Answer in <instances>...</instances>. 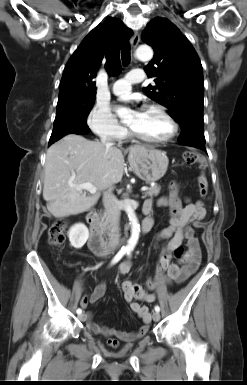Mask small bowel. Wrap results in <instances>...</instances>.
I'll list each match as a JSON object with an SVG mask.
<instances>
[{
  "instance_id": "obj_1",
  "label": "small bowel",
  "mask_w": 247,
  "mask_h": 385,
  "mask_svg": "<svg viewBox=\"0 0 247 385\" xmlns=\"http://www.w3.org/2000/svg\"><path fill=\"white\" fill-rule=\"evenodd\" d=\"M157 205L160 207H169L171 210L168 226L163 228L156 236V244L165 241L161 249L162 257L159 263L165 257L169 258L170 265L166 272L167 274L165 275V273L159 272L157 267L155 278L147 282L145 287L132 282H125L123 284L124 298L132 312L142 320L141 327L136 331L126 332L95 322L92 313L89 311L85 314L89 329L107 338V343L112 347H117L120 341H135L148 331L152 320L149 308L147 305L137 302L136 299L146 303L154 302L157 295L148 292L149 289L157 288V290L160 291L164 284L182 283L186 281L196 272L201 261L200 244L195 236L194 228L202 227V220L206 215L203 202H192L187 199L183 203L177 196L176 187H173L170 195L160 198L157 201ZM154 206L155 203L152 200L145 201V214L150 215ZM183 240L187 241V251L178 262L172 263L171 254L176 248L180 247ZM130 268L131 264L129 262H123L118 268V274L124 275L129 272ZM127 284H133L138 289V294L135 295L125 290ZM106 288V282L101 281L90 295L82 297L80 301L81 307L86 309L89 305L97 303L104 296Z\"/></svg>"
}]
</instances>
